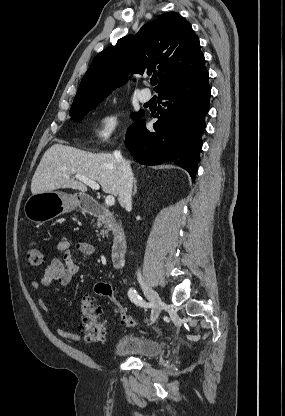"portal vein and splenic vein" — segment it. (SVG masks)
<instances>
[{"label":"portal vein and splenic vein","mask_w":285,"mask_h":416,"mask_svg":"<svg viewBox=\"0 0 285 416\" xmlns=\"http://www.w3.org/2000/svg\"><path fill=\"white\" fill-rule=\"evenodd\" d=\"M67 178H69V176H67ZM75 178L76 180H79V182H83V184H86V186H89V188H92V190H100L99 184H96V182H93V180H89V178H86V176H81V174H76ZM105 204H107V206H114L115 204L114 196H107V198H105Z\"/></svg>","instance_id":"18ae733b"}]
</instances>
